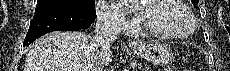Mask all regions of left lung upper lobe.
Here are the masks:
<instances>
[{
	"instance_id": "obj_1",
	"label": "left lung upper lobe",
	"mask_w": 230,
	"mask_h": 71,
	"mask_svg": "<svg viewBox=\"0 0 230 71\" xmlns=\"http://www.w3.org/2000/svg\"><path fill=\"white\" fill-rule=\"evenodd\" d=\"M193 2L194 5H197L199 0H191Z\"/></svg>"
}]
</instances>
